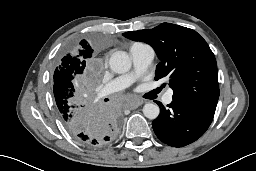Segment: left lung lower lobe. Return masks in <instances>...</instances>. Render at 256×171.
Wrapping results in <instances>:
<instances>
[{
  "mask_svg": "<svg viewBox=\"0 0 256 171\" xmlns=\"http://www.w3.org/2000/svg\"><path fill=\"white\" fill-rule=\"evenodd\" d=\"M161 105V104H160ZM217 104L189 97L173 96V101L152 122L156 136L173 147H183L201 137L213 119Z\"/></svg>",
  "mask_w": 256,
  "mask_h": 171,
  "instance_id": "left-lung-lower-lobe-1",
  "label": "left lung lower lobe"
}]
</instances>
